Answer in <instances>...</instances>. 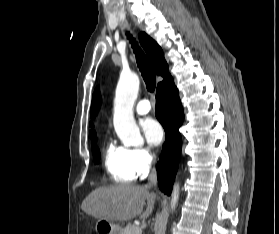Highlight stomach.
<instances>
[{
  "label": "stomach",
  "instance_id": "obj_1",
  "mask_svg": "<svg viewBox=\"0 0 279 234\" xmlns=\"http://www.w3.org/2000/svg\"><path fill=\"white\" fill-rule=\"evenodd\" d=\"M98 234H121V227L112 222L99 219L95 226Z\"/></svg>",
  "mask_w": 279,
  "mask_h": 234
}]
</instances>
